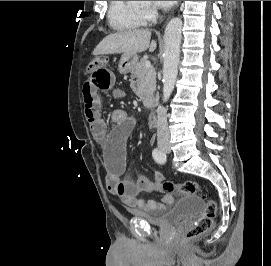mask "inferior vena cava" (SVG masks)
<instances>
[{
    "label": "inferior vena cava",
    "mask_w": 271,
    "mask_h": 266,
    "mask_svg": "<svg viewBox=\"0 0 271 266\" xmlns=\"http://www.w3.org/2000/svg\"><path fill=\"white\" fill-rule=\"evenodd\" d=\"M170 132L168 128L166 110L161 105L157 108V140L158 142L169 141Z\"/></svg>",
    "instance_id": "602c4592"
}]
</instances>
